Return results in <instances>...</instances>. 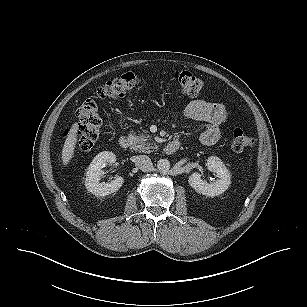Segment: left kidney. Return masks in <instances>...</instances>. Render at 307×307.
<instances>
[{"mask_svg": "<svg viewBox=\"0 0 307 307\" xmlns=\"http://www.w3.org/2000/svg\"><path fill=\"white\" fill-rule=\"evenodd\" d=\"M207 168L209 171L216 173L217 179L208 183L201 179L200 173H193L188 180L189 185L196 192L208 197L218 196L226 191L231 183V174L223 162L215 156H211L207 160Z\"/></svg>", "mask_w": 307, "mask_h": 307, "instance_id": "1", "label": "left kidney"}]
</instances>
